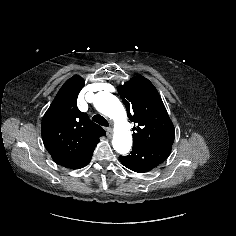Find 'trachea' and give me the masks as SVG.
I'll return each mask as SVG.
<instances>
[{"instance_id":"obj_1","label":"trachea","mask_w":236,"mask_h":236,"mask_svg":"<svg viewBox=\"0 0 236 236\" xmlns=\"http://www.w3.org/2000/svg\"><path fill=\"white\" fill-rule=\"evenodd\" d=\"M92 120H93L94 122L98 123V124L101 125V126H104V127L109 126L107 120H106L103 116H101V115H99V114L94 115L93 118H92Z\"/></svg>"}]
</instances>
